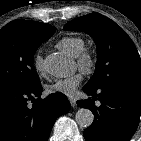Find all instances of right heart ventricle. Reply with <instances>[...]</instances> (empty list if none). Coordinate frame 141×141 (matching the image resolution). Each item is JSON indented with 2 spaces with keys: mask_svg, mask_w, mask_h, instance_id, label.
I'll return each mask as SVG.
<instances>
[{
  "mask_svg": "<svg viewBox=\"0 0 141 141\" xmlns=\"http://www.w3.org/2000/svg\"><path fill=\"white\" fill-rule=\"evenodd\" d=\"M56 46L71 56H77L85 48V40L79 36L63 37Z\"/></svg>",
  "mask_w": 141,
  "mask_h": 141,
  "instance_id": "e07e8e85",
  "label": "right heart ventricle"
}]
</instances>
